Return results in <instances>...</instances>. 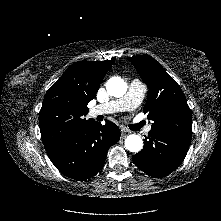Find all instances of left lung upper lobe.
<instances>
[{"label":"left lung upper lobe","instance_id":"1","mask_svg":"<svg viewBox=\"0 0 221 221\" xmlns=\"http://www.w3.org/2000/svg\"><path fill=\"white\" fill-rule=\"evenodd\" d=\"M128 60L149 88L144 113L153 121L151 130L190 138L191 111L176 81L150 56H134Z\"/></svg>","mask_w":221,"mask_h":221}]
</instances>
